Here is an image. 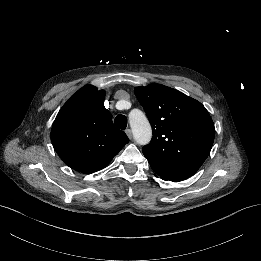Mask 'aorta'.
Instances as JSON below:
<instances>
[{"instance_id":"obj_1","label":"aorta","mask_w":261,"mask_h":261,"mask_svg":"<svg viewBox=\"0 0 261 261\" xmlns=\"http://www.w3.org/2000/svg\"><path fill=\"white\" fill-rule=\"evenodd\" d=\"M129 123L136 143L148 144L152 137V128L145 114L140 109H132L129 113Z\"/></svg>"}]
</instances>
